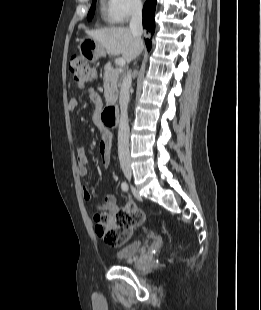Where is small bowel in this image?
I'll list each match as a JSON object with an SVG mask.
<instances>
[{"mask_svg": "<svg viewBox=\"0 0 261 310\" xmlns=\"http://www.w3.org/2000/svg\"><path fill=\"white\" fill-rule=\"evenodd\" d=\"M88 98L94 105L95 110V119L98 121L100 110L103 106L102 99L100 95L94 88H89L86 92ZM77 105L76 99H70L68 102V107L70 110H73ZM100 154H101V162L105 168H108L111 160V136L108 132H104V136L102 142L100 144ZM78 160V173L81 177H86L88 175V155L83 147H80L77 153ZM84 199L86 201L91 200V194L87 188L84 186ZM98 210L97 214H114L120 211L119 206L116 202V197L108 193L104 196V204L96 208ZM144 214V213H143ZM96 215V214H95ZM145 216V215H144ZM95 220V216H94ZM143 222V221H142Z\"/></svg>", "mask_w": 261, "mask_h": 310, "instance_id": "1", "label": "small bowel"}]
</instances>
